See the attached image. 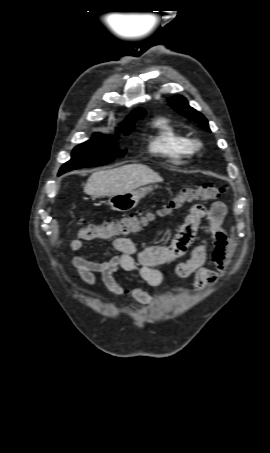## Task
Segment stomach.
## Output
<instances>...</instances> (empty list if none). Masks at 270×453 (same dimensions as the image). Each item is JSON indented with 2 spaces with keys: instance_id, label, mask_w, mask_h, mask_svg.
<instances>
[{
  "instance_id": "obj_1",
  "label": "stomach",
  "mask_w": 270,
  "mask_h": 453,
  "mask_svg": "<svg viewBox=\"0 0 270 453\" xmlns=\"http://www.w3.org/2000/svg\"><path fill=\"white\" fill-rule=\"evenodd\" d=\"M151 190L152 188L139 189L123 194L112 195L108 200V204L112 210L127 212L135 208L141 198L145 197Z\"/></svg>"
}]
</instances>
